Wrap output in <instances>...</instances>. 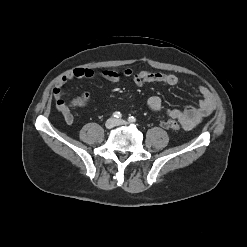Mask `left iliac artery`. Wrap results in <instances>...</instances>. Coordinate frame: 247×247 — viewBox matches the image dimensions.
<instances>
[{"mask_svg":"<svg viewBox=\"0 0 247 247\" xmlns=\"http://www.w3.org/2000/svg\"><path fill=\"white\" fill-rule=\"evenodd\" d=\"M128 121L131 122V123H134V122H136V118L133 117V116H130V117L128 118Z\"/></svg>","mask_w":247,"mask_h":247,"instance_id":"left-iliac-artery-1","label":"left iliac artery"}]
</instances>
